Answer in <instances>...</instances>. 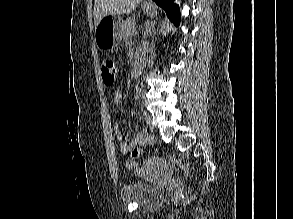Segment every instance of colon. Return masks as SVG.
Masks as SVG:
<instances>
[{"label":"colon","mask_w":293,"mask_h":219,"mask_svg":"<svg viewBox=\"0 0 293 219\" xmlns=\"http://www.w3.org/2000/svg\"><path fill=\"white\" fill-rule=\"evenodd\" d=\"M119 68L118 63L113 57H107L103 60L102 63V77L103 82L106 86L113 85L116 76L118 74ZM153 139L152 137L145 132V135L143 137L142 143L139 148L135 147L131 150V159L127 161V167L129 169H132L136 166V159L142 154L143 147H147L152 143Z\"/></svg>","instance_id":"obj_1"}]
</instances>
